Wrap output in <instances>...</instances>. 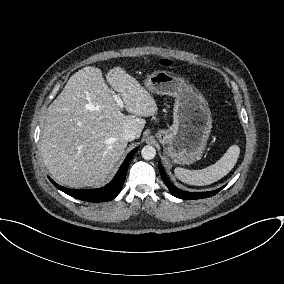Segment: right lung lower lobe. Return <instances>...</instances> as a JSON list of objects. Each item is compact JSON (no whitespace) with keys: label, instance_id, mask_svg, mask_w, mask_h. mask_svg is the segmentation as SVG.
I'll use <instances>...</instances> for the list:
<instances>
[{"label":"right lung lower lobe","instance_id":"obj_1","mask_svg":"<svg viewBox=\"0 0 284 284\" xmlns=\"http://www.w3.org/2000/svg\"><path fill=\"white\" fill-rule=\"evenodd\" d=\"M137 150L138 148H135L127 155V157L120 166L113 180L102 188L89 189V190H73L62 187L57 183H55L51 178L49 179L55 185L56 188L76 199L89 201V202L109 201L115 198L119 194L126 178L128 166Z\"/></svg>","mask_w":284,"mask_h":284}]
</instances>
